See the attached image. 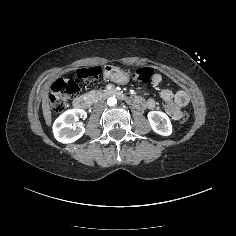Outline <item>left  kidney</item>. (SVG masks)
<instances>
[{"instance_id": "left-kidney-1", "label": "left kidney", "mask_w": 236, "mask_h": 236, "mask_svg": "<svg viewBox=\"0 0 236 236\" xmlns=\"http://www.w3.org/2000/svg\"><path fill=\"white\" fill-rule=\"evenodd\" d=\"M147 118L151 129L158 135L170 136L173 128L171 121L167 114L161 111H150L147 114Z\"/></svg>"}]
</instances>
